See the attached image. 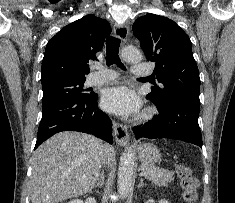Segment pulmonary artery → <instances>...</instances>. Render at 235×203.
Masks as SVG:
<instances>
[{
    "label": "pulmonary artery",
    "instance_id": "obj_1",
    "mask_svg": "<svg viewBox=\"0 0 235 203\" xmlns=\"http://www.w3.org/2000/svg\"><path fill=\"white\" fill-rule=\"evenodd\" d=\"M95 69L97 71L92 72L86 80V84L88 86H95V85L110 83L114 81L118 76V73L116 71L107 69L102 66H95ZM132 73L137 76H145L150 73V69L148 65L144 63H137V64H134L132 68Z\"/></svg>",
    "mask_w": 235,
    "mask_h": 203
}]
</instances>
